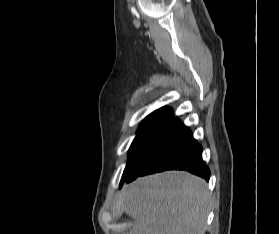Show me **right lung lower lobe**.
<instances>
[{
    "mask_svg": "<svg viewBox=\"0 0 279 234\" xmlns=\"http://www.w3.org/2000/svg\"><path fill=\"white\" fill-rule=\"evenodd\" d=\"M171 169L186 170L206 180L210 176L202 160V147L191 131L169 114L145 143L124 181Z\"/></svg>",
    "mask_w": 279,
    "mask_h": 234,
    "instance_id": "right-lung-lower-lobe-1",
    "label": "right lung lower lobe"
}]
</instances>
